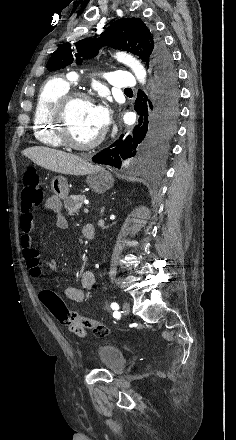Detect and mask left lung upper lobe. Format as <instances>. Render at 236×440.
Wrapping results in <instances>:
<instances>
[{"label": "left lung upper lobe", "mask_w": 236, "mask_h": 440, "mask_svg": "<svg viewBox=\"0 0 236 440\" xmlns=\"http://www.w3.org/2000/svg\"><path fill=\"white\" fill-rule=\"evenodd\" d=\"M125 50L137 55L147 64L161 61L166 64L172 62L162 40L149 29L139 18H124L113 22L103 33L101 38H88L76 44L64 43L52 54L46 67L50 71L64 68L71 64L75 57L78 64L80 57L90 58L98 54L104 46Z\"/></svg>", "instance_id": "obj_1"}]
</instances>
